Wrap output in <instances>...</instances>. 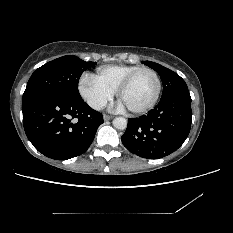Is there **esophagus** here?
<instances>
[{"label": "esophagus", "instance_id": "34e87169", "mask_svg": "<svg viewBox=\"0 0 233 233\" xmlns=\"http://www.w3.org/2000/svg\"><path fill=\"white\" fill-rule=\"evenodd\" d=\"M113 117L112 116H109V115H104L103 116V119L105 120V121H108V120H111Z\"/></svg>", "mask_w": 233, "mask_h": 233}]
</instances>
